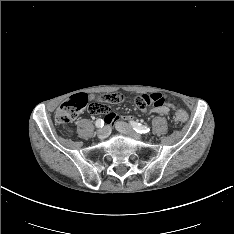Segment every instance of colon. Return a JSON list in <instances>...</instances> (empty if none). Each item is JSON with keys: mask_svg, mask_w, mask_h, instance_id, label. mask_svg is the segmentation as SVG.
I'll return each instance as SVG.
<instances>
[{"mask_svg": "<svg viewBox=\"0 0 234 234\" xmlns=\"http://www.w3.org/2000/svg\"><path fill=\"white\" fill-rule=\"evenodd\" d=\"M88 97H89L88 95L80 93V94H76L70 97L68 100L63 102L56 110V113H55L56 122L58 124L63 125V124H67L73 121L85 107L87 108ZM97 115H100V114H97ZM187 118H188L187 113L183 110H178L175 115L176 122H184L187 120Z\"/></svg>", "mask_w": 234, "mask_h": 234, "instance_id": "5ec220e1", "label": "colon"}]
</instances>
